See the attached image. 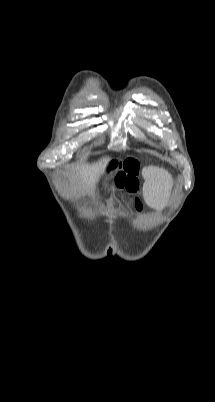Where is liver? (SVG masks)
Instances as JSON below:
<instances>
[{
	"label": "liver",
	"mask_w": 215,
	"mask_h": 402,
	"mask_svg": "<svg viewBox=\"0 0 215 402\" xmlns=\"http://www.w3.org/2000/svg\"><path fill=\"white\" fill-rule=\"evenodd\" d=\"M107 161L108 158H103L91 166L82 165L80 167L77 166L76 168H72V171H79L78 176L86 193H90L94 189L95 184L98 182L101 174L103 173ZM158 208H160V204Z\"/></svg>",
	"instance_id": "liver-1"
}]
</instances>
